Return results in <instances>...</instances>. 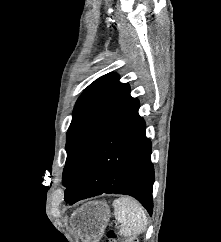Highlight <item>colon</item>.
<instances>
[{"label": "colon", "mask_w": 221, "mask_h": 242, "mask_svg": "<svg viewBox=\"0 0 221 242\" xmlns=\"http://www.w3.org/2000/svg\"><path fill=\"white\" fill-rule=\"evenodd\" d=\"M106 242H138V239L136 237H129L124 239L117 238L114 231H110L107 236Z\"/></svg>", "instance_id": "colon-1"}]
</instances>
